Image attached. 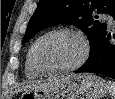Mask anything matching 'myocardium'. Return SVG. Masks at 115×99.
I'll return each mask as SVG.
<instances>
[{
  "instance_id": "1",
  "label": "myocardium",
  "mask_w": 115,
  "mask_h": 99,
  "mask_svg": "<svg viewBox=\"0 0 115 99\" xmlns=\"http://www.w3.org/2000/svg\"><path fill=\"white\" fill-rule=\"evenodd\" d=\"M61 33H67V34H71V35H74L75 37H77L82 44V53H81L79 59L71 65L57 68V69H45L44 67L41 66V64L39 63L38 58H37L38 45L44 39H46L52 35L61 34ZM90 50L91 49H90L89 40L81 31L73 29V28H69V27H61V28H56V29H53V30H50V31L44 33L42 36H40L33 43L32 47H31V60H32V64H33L34 68L41 75L52 76V75H57V74H61V73L74 71V70L80 68L89 58Z\"/></svg>"
}]
</instances>
